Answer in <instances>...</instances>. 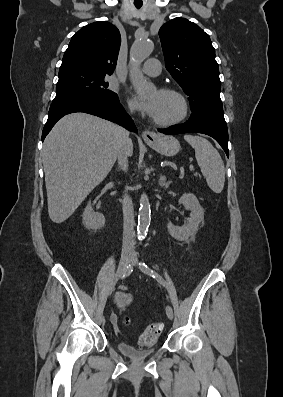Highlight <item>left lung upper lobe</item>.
I'll list each match as a JSON object with an SVG mask.
<instances>
[{"mask_svg": "<svg viewBox=\"0 0 283 397\" xmlns=\"http://www.w3.org/2000/svg\"><path fill=\"white\" fill-rule=\"evenodd\" d=\"M166 69L189 96L191 111L223 114L221 81L210 37L185 18H174L159 30Z\"/></svg>", "mask_w": 283, "mask_h": 397, "instance_id": "1", "label": "left lung upper lobe"}]
</instances>
